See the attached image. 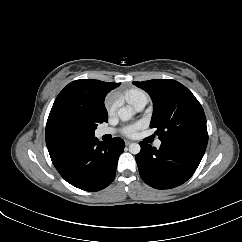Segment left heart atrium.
I'll use <instances>...</instances> for the list:
<instances>
[{
	"mask_svg": "<svg viewBox=\"0 0 242 242\" xmlns=\"http://www.w3.org/2000/svg\"><path fill=\"white\" fill-rule=\"evenodd\" d=\"M140 124L130 125L124 128L123 133L129 137H134L140 129Z\"/></svg>",
	"mask_w": 242,
	"mask_h": 242,
	"instance_id": "39dd6f15",
	"label": "left heart atrium"
}]
</instances>
